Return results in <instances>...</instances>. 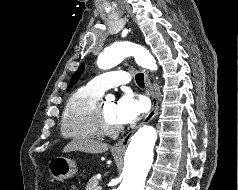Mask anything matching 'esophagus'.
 Wrapping results in <instances>:
<instances>
[{
  "instance_id": "34e87169",
  "label": "esophagus",
  "mask_w": 238,
  "mask_h": 190,
  "mask_svg": "<svg viewBox=\"0 0 238 190\" xmlns=\"http://www.w3.org/2000/svg\"><path fill=\"white\" fill-rule=\"evenodd\" d=\"M143 74H144L146 92L150 96L151 101H152V108H151L150 112L145 116L144 120L140 123V125L138 127H140L146 123H149L157 115L158 107H159L158 99H157L156 93L153 89V86L151 84V81L149 79L148 73L145 70H143ZM134 131L135 130L131 131L126 136H124L121 140H119L117 143H115L113 145L112 149L116 152H124Z\"/></svg>"
}]
</instances>
